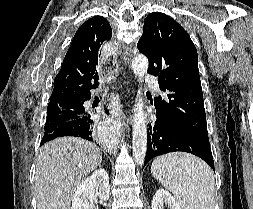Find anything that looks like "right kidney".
<instances>
[{"label":"right kidney","mask_w":253,"mask_h":209,"mask_svg":"<svg viewBox=\"0 0 253 209\" xmlns=\"http://www.w3.org/2000/svg\"><path fill=\"white\" fill-rule=\"evenodd\" d=\"M110 195L109 176L106 170H95L75 191L71 209H93V202L98 196L101 201Z\"/></svg>","instance_id":"obj_1"}]
</instances>
